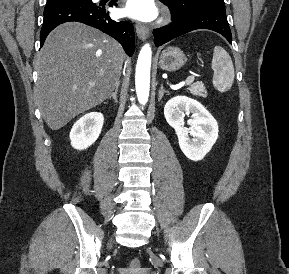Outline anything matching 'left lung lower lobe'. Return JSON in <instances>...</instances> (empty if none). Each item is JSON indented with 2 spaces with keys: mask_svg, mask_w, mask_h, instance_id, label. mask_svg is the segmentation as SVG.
<instances>
[{
  "mask_svg": "<svg viewBox=\"0 0 289 274\" xmlns=\"http://www.w3.org/2000/svg\"><path fill=\"white\" fill-rule=\"evenodd\" d=\"M172 22L153 31L156 46L197 29H209L223 35L232 44V35L226 18V11L217 7H200L183 15L176 16L172 11Z\"/></svg>",
  "mask_w": 289,
  "mask_h": 274,
  "instance_id": "obj_1",
  "label": "left lung lower lobe"
}]
</instances>
